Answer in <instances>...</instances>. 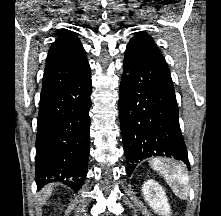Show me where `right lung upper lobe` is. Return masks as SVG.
<instances>
[{
  "label": "right lung upper lobe",
  "mask_w": 221,
  "mask_h": 216,
  "mask_svg": "<svg viewBox=\"0 0 221 216\" xmlns=\"http://www.w3.org/2000/svg\"><path fill=\"white\" fill-rule=\"evenodd\" d=\"M90 70L85 50L76 34L62 31L52 43L44 70L41 96Z\"/></svg>",
  "instance_id": "right-lung-upper-lobe-1"
}]
</instances>
